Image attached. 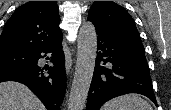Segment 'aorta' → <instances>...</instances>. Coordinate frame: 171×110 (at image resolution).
<instances>
[{
  "label": "aorta",
  "mask_w": 171,
  "mask_h": 110,
  "mask_svg": "<svg viewBox=\"0 0 171 110\" xmlns=\"http://www.w3.org/2000/svg\"><path fill=\"white\" fill-rule=\"evenodd\" d=\"M97 56V34L92 23H84L78 35L77 61L68 100V110H83L92 81Z\"/></svg>",
  "instance_id": "aorta-1"
}]
</instances>
